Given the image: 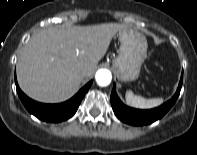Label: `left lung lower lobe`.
Wrapping results in <instances>:
<instances>
[{
	"instance_id": "1",
	"label": "left lung lower lobe",
	"mask_w": 197,
	"mask_h": 155,
	"mask_svg": "<svg viewBox=\"0 0 197 155\" xmlns=\"http://www.w3.org/2000/svg\"><path fill=\"white\" fill-rule=\"evenodd\" d=\"M182 80H183V73L181 75L180 83L175 95L169 101L162 104L161 106L149 110H139L124 105L119 99V97L117 96L115 90V84H114L111 93V105L113 111L115 115L124 123L134 126L151 124L154 121L162 118L176 102L182 87Z\"/></svg>"
}]
</instances>
